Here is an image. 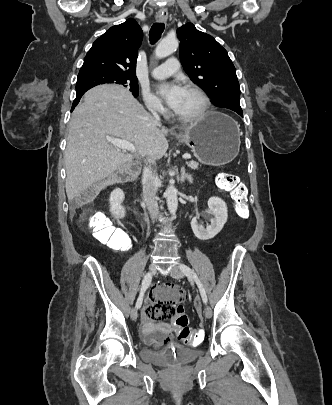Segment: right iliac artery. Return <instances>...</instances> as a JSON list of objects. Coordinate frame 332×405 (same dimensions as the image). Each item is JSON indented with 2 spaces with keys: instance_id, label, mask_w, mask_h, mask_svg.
Returning <instances> with one entry per match:
<instances>
[{
  "instance_id": "1",
  "label": "right iliac artery",
  "mask_w": 332,
  "mask_h": 405,
  "mask_svg": "<svg viewBox=\"0 0 332 405\" xmlns=\"http://www.w3.org/2000/svg\"><path fill=\"white\" fill-rule=\"evenodd\" d=\"M151 280H152V276L149 273H147L144 276V279L142 281L140 294H139V297H138L137 302H136V308L137 309H139L141 307V305H142L144 293H145L146 289L149 287V285L151 283Z\"/></svg>"
}]
</instances>
